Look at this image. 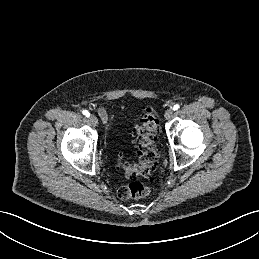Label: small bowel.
Segmentation results:
<instances>
[{
  "instance_id": "obj_1",
  "label": "small bowel",
  "mask_w": 259,
  "mask_h": 259,
  "mask_svg": "<svg viewBox=\"0 0 259 259\" xmlns=\"http://www.w3.org/2000/svg\"><path fill=\"white\" fill-rule=\"evenodd\" d=\"M98 114L104 123H109L113 119L111 112L104 107L98 108Z\"/></svg>"
}]
</instances>
